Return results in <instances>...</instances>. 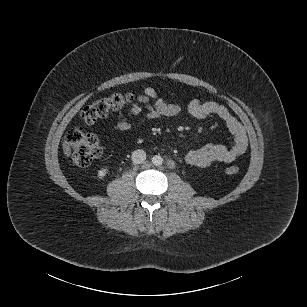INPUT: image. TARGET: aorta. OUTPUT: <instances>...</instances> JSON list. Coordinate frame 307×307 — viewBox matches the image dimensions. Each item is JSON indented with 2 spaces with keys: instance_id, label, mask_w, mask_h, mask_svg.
Instances as JSON below:
<instances>
[{
  "instance_id": "obj_1",
  "label": "aorta",
  "mask_w": 307,
  "mask_h": 307,
  "mask_svg": "<svg viewBox=\"0 0 307 307\" xmlns=\"http://www.w3.org/2000/svg\"><path fill=\"white\" fill-rule=\"evenodd\" d=\"M152 164L155 166H160L163 164V158L160 155H155L152 157Z\"/></svg>"
}]
</instances>
